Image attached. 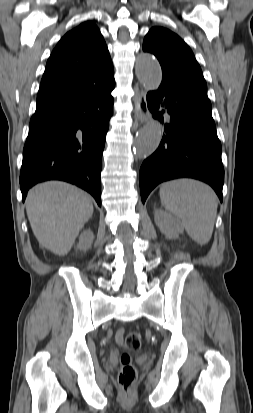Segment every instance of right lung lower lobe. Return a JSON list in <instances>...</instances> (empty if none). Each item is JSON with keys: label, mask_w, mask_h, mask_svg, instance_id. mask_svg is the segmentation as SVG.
Listing matches in <instances>:
<instances>
[{"label": "right lung lower lobe", "mask_w": 253, "mask_h": 413, "mask_svg": "<svg viewBox=\"0 0 253 413\" xmlns=\"http://www.w3.org/2000/svg\"><path fill=\"white\" fill-rule=\"evenodd\" d=\"M114 87L113 74L94 95L70 103L46 124L29 129L20 172L23 201L36 183L57 179L88 191L101 206L102 153Z\"/></svg>", "instance_id": "right-lung-lower-lobe-1"}]
</instances>
